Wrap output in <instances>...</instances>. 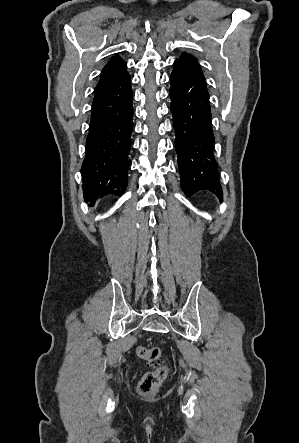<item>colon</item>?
Wrapping results in <instances>:
<instances>
[{
	"mask_svg": "<svg viewBox=\"0 0 299 443\" xmlns=\"http://www.w3.org/2000/svg\"><path fill=\"white\" fill-rule=\"evenodd\" d=\"M137 354L148 364H159L156 370L145 373L138 384L139 394L142 396H150L156 392L168 375L166 360L159 347L146 349L145 347L139 346L137 348Z\"/></svg>",
	"mask_w": 299,
	"mask_h": 443,
	"instance_id": "1",
	"label": "colon"
}]
</instances>
